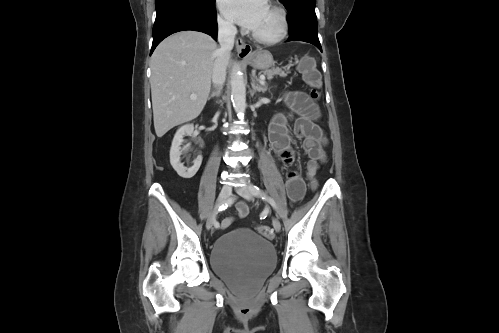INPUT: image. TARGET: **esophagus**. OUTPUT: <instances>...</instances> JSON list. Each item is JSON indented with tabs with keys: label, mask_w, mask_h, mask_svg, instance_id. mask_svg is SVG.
Returning <instances> with one entry per match:
<instances>
[{
	"label": "esophagus",
	"mask_w": 499,
	"mask_h": 333,
	"mask_svg": "<svg viewBox=\"0 0 499 333\" xmlns=\"http://www.w3.org/2000/svg\"><path fill=\"white\" fill-rule=\"evenodd\" d=\"M236 50L238 56L246 58L251 54L252 47L247 45L241 38L236 39Z\"/></svg>",
	"instance_id": "esophagus-1"
}]
</instances>
